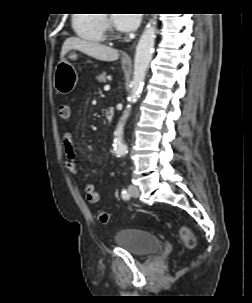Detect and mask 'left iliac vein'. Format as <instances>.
<instances>
[{
  "label": "left iliac vein",
  "instance_id": "obj_1",
  "mask_svg": "<svg viewBox=\"0 0 252 303\" xmlns=\"http://www.w3.org/2000/svg\"><path fill=\"white\" fill-rule=\"evenodd\" d=\"M128 191L132 197L137 198L139 196V189L136 185L133 184L129 185Z\"/></svg>",
  "mask_w": 252,
  "mask_h": 303
}]
</instances>
